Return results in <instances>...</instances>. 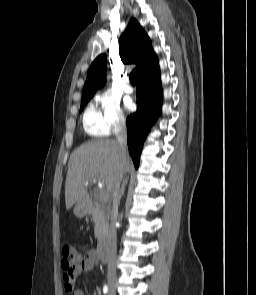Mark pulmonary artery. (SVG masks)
I'll return each instance as SVG.
<instances>
[{"instance_id": "pulmonary-artery-1", "label": "pulmonary artery", "mask_w": 256, "mask_h": 295, "mask_svg": "<svg viewBox=\"0 0 256 295\" xmlns=\"http://www.w3.org/2000/svg\"><path fill=\"white\" fill-rule=\"evenodd\" d=\"M124 91L126 93H132L133 92V88H132V86L130 85V83L128 81L126 82V84L124 86Z\"/></svg>"}]
</instances>
